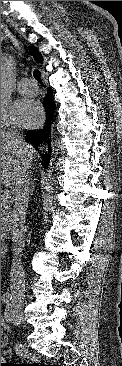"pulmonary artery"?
Wrapping results in <instances>:
<instances>
[{"label": "pulmonary artery", "mask_w": 122, "mask_h": 366, "mask_svg": "<svg viewBox=\"0 0 122 366\" xmlns=\"http://www.w3.org/2000/svg\"><path fill=\"white\" fill-rule=\"evenodd\" d=\"M17 90L22 94H36L38 91V87L36 83L30 79L23 78L19 80L17 83Z\"/></svg>", "instance_id": "obj_1"}]
</instances>
